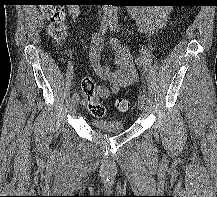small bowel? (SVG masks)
Here are the masks:
<instances>
[{
  "mask_svg": "<svg viewBox=\"0 0 217 197\" xmlns=\"http://www.w3.org/2000/svg\"><path fill=\"white\" fill-rule=\"evenodd\" d=\"M68 11L72 18H76L80 13V8L78 5H70ZM131 15L135 19L139 31L150 36L168 23L170 8L166 6L132 8ZM110 48L114 54L115 69L113 70L109 65L101 64L103 39L99 33L93 34L89 52L90 63L97 75L110 83V88L107 89L104 99L117 94L122 87L138 81V73L129 49L123 46L117 38L111 40Z\"/></svg>",
  "mask_w": 217,
  "mask_h": 197,
  "instance_id": "small-bowel-1",
  "label": "small bowel"
}]
</instances>
